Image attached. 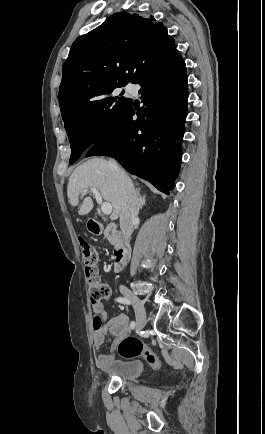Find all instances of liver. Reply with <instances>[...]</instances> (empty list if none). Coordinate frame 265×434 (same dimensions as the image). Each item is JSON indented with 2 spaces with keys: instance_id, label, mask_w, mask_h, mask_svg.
<instances>
[{
  "instance_id": "6515ba94",
  "label": "liver",
  "mask_w": 265,
  "mask_h": 434,
  "mask_svg": "<svg viewBox=\"0 0 265 434\" xmlns=\"http://www.w3.org/2000/svg\"><path fill=\"white\" fill-rule=\"evenodd\" d=\"M86 188H97L106 202H111L113 212L110 220H117L121 212L122 196L119 192L118 182L111 170L109 162L104 158H92L78 166L71 174L68 182L67 196L71 206H78L79 196ZM93 208L91 198H85L78 214L85 216Z\"/></svg>"
}]
</instances>
